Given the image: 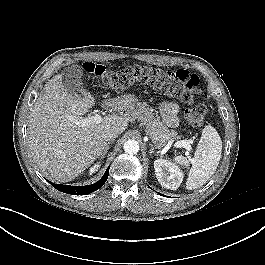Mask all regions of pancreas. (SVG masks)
Listing matches in <instances>:
<instances>
[{"instance_id": "pancreas-1", "label": "pancreas", "mask_w": 265, "mask_h": 265, "mask_svg": "<svg viewBox=\"0 0 265 265\" xmlns=\"http://www.w3.org/2000/svg\"><path fill=\"white\" fill-rule=\"evenodd\" d=\"M125 118L133 122L141 121L146 126L145 131L158 147H163L167 142L180 138L175 130H169L160 118L154 113V110L146 103L138 102L128 110Z\"/></svg>"}]
</instances>
